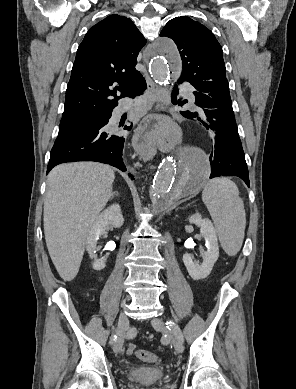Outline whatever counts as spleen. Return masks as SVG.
<instances>
[{
    "label": "spleen",
    "mask_w": 296,
    "mask_h": 389,
    "mask_svg": "<svg viewBox=\"0 0 296 389\" xmlns=\"http://www.w3.org/2000/svg\"><path fill=\"white\" fill-rule=\"evenodd\" d=\"M202 200L222 248L229 256H235L241 249L246 227V213L238 187L228 178H214L205 185Z\"/></svg>",
    "instance_id": "obj_1"
}]
</instances>
